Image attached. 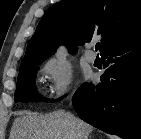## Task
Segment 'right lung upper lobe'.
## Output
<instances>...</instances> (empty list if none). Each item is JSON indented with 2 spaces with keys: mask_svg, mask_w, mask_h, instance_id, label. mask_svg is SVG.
Wrapping results in <instances>:
<instances>
[{
  "mask_svg": "<svg viewBox=\"0 0 141 139\" xmlns=\"http://www.w3.org/2000/svg\"><path fill=\"white\" fill-rule=\"evenodd\" d=\"M141 36V0H62L52 5L29 41L20 68L41 64L65 44L70 52L101 37L100 54Z\"/></svg>",
  "mask_w": 141,
  "mask_h": 139,
  "instance_id": "cb5924a9",
  "label": "right lung upper lobe"
}]
</instances>
